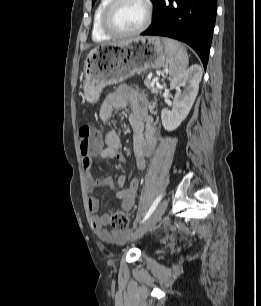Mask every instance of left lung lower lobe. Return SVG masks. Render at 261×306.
<instances>
[{
  "mask_svg": "<svg viewBox=\"0 0 261 306\" xmlns=\"http://www.w3.org/2000/svg\"><path fill=\"white\" fill-rule=\"evenodd\" d=\"M154 0L151 26L141 35H159L187 43L206 68L216 20L217 0Z\"/></svg>",
  "mask_w": 261,
  "mask_h": 306,
  "instance_id": "obj_1",
  "label": "left lung lower lobe"
}]
</instances>
